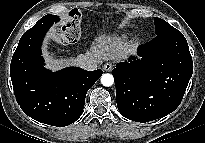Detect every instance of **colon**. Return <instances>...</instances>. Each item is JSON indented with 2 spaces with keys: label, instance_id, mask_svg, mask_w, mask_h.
<instances>
[{
  "label": "colon",
  "instance_id": "obj_1",
  "mask_svg": "<svg viewBox=\"0 0 205 143\" xmlns=\"http://www.w3.org/2000/svg\"><path fill=\"white\" fill-rule=\"evenodd\" d=\"M80 20V13L77 10H71L64 24L55 31L57 41L64 44L76 42L79 36Z\"/></svg>",
  "mask_w": 205,
  "mask_h": 143
}]
</instances>
